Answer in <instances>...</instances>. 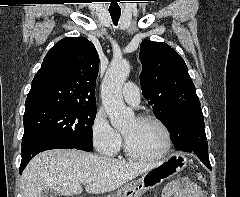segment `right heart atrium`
Returning a JSON list of instances; mask_svg holds the SVG:
<instances>
[{
	"label": "right heart atrium",
	"mask_w": 240,
	"mask_h": 197,
	"mask_svg": "<svg viewBox=\"0 0 240 197\" xmlns=\"http://www.w3.org/2000/svg\"><path fill=\"white\" fill-rule=\"evenodd\" d=\"M90 138L95 150L102 155H114L122 145L121 134L111 126L102 112H97L92 120Z\"/></svg>",
	"instance_id": "obj_1"
}]
</instances>
